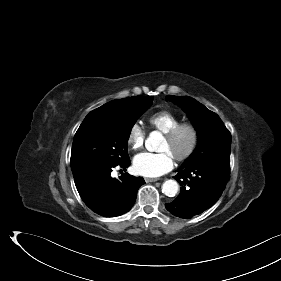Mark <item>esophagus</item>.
Masks as SVG:
<instances>
[{
  "label": "esophagus",
  "mask_w": 281,
  "mask_h": 281,
  "mask_svg": "<svg viewBox=\"0 0 281 281\" xmlns=\"http://www.w3.org/2000/svg\"><path fill=\"white\" fill-rule=\"evenodd\" d=\"M158 180H160L159 178H145V181L147 182V183H149V182H156V181H158Z\"/></svg>",
  "instance_id": "esophagus-1"
}]
</instances>
